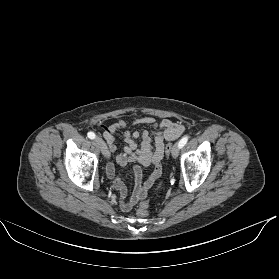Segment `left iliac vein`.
Masks as SVG:
<instances>
[{
  "mask_svg": "<svg viewBox=\"0 0 279 279\" xmlns=\"http://www.w3.org/2000/svg\"><path fill=\"white\" fill-rule=\"evenodd\" d=\"M180 147L178 144H174L171 150V154L173 158H177L179 155Z\"/></svg>",
  "mask_w": 279,
  "mask_h": 279,
  "instance_id": "obj_1",
  "label": "left iliac vein"
}]
</instances>
